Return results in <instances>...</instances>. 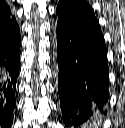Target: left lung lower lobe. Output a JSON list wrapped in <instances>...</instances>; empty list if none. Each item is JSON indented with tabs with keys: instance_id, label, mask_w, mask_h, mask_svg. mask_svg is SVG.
<instances>
[{
	"instance_id": "left-lung-lower-lobe-1",
	"label": "left lung lower lobe",
	"mask_w": 125,
	"mask_h": 128,
	"mask_svg": "<svg viewBox=\"0 0 125 128\" xmlns=\"http://www.w3.org/2000/svg\"><path fill=\"white\" fill-rule=\"evenodd\" d=\"M60 106L65 125L86 128L100 119L109 98L102 33L57 22Z\"/></svg>"
}]
</instances>
